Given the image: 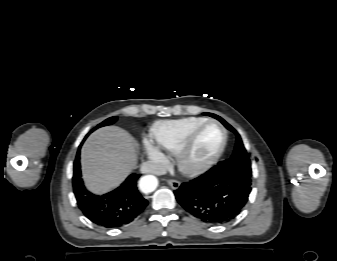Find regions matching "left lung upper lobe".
<instances>
[{
    "label": "left lung upper lobe",
    "instance_id": "1",
    "mask_svg": "<svg viewBox=\"0 0 337 261\" xmlns=\"http://www.w3.org/2000/svg\"><path fill=\"white\" fill-rule=\"evenodd\" d=\"M216 117L218 120H220L229 130H232L237 135L236 140V146L233 155L231 158L219 162L218 166L220 167H228L232 170H234L236 173H238L239 176L247 180L251 184V177H252V171H251V162L249 159V155L246 152V149L244 148V145L242 143L241 137L239 134L228 124L226 123L222 118L212 115Z\"/></svg>",
    "mask_w": 337,
    "mask_h": 261
}]
</instances>
